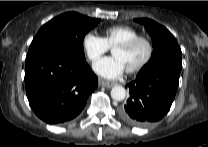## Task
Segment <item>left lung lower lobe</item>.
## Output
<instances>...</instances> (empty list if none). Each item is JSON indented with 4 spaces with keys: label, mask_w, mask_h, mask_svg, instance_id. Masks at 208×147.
Wrapping results in <instances>:
<instances>
[{
    "label": "left lung lower lobe",
    "mask_w": 208,
    "mask_h": 147,
    "mask_svg": "<svg viewBox=\"0 0 208 147\" xmlns=\"http://www.w3.org/2000/svg\"><path fill=\"white\" fill-rule=\"evenodd\" d=\"M181 69L164 64L128 84L130 97L118 113L127 123L146 126L161 120L169 111L179 84Z\"/></svg>",
    "instance_id": "left-lung-lower-lobe-1"
}]
</instances>
